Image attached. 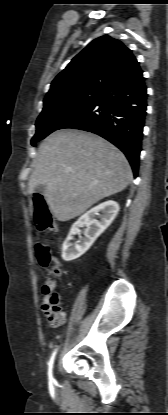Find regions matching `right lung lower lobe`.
<instances>
[{"label":"right lung lower lobe","mask_w":168,"mask_h":415,"mask_svg":"<svg viewBox=\"0 0 168 415\" xmlns=\"http://www.w3.org/2000/svg\"><path fill=\"white\" fill-rule=\"evenodd\" d=\"M147 93L139 64L109 84L102 94L59 129L74 128L100 135L128 159L134 176L139 168Z\"/></svg>","instance_id":"right-lung-lower-lobe-1"}]
</instances>
